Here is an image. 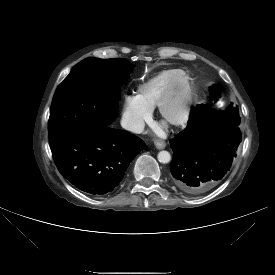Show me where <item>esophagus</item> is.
<instances>
[{
    "instance_id": "34e87169",
    "label": "esophagus",
    "mask_w": 275,
    "mask_h": 275,
    "mask_svg": "<svg viewBox=\"0 0 275 275\" xmlns=\"http://www.w3.org/2000/svg\"><path fill=\"white\" fill-rule=\"evenodd\" d=\"M155 146L157 149H164L166 147V143L162 140H156Z\"/></svg>"
}]
</instances>
